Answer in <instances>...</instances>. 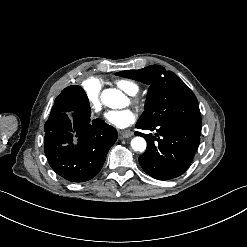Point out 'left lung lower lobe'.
Instances as JSON below:
<instances>
[{"instance_id": "obj_1", "label": "left lung lower lobe", "mask_w": 247, "mask_h": 247, "mask_svg": "<svg viewBox=\"0 0 247 247\" xmlns=\"http://www.w3.org/2000/svg\"><path fill=\"white\" fill-rule=\"evenodd\" d=\"M136 128L157 131V137L135 133L147 141V149L139 157V163L148 175L168 180L182 175L188 169L199 146L201 129L183 123L136 125Z\"/></svg>"}]
</instances>
